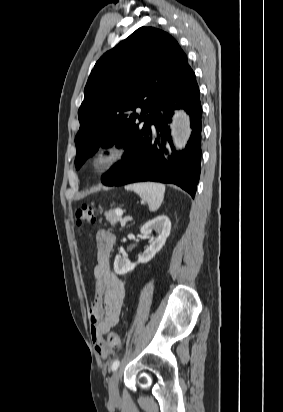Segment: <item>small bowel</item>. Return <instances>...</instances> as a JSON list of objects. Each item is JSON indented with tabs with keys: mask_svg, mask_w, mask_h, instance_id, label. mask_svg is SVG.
Segmentation results:
<instances>
[{
	"mask_svg": "<svg viewBox=\"0 0 283 412\" xmlns=\"http://www.w3.org/2000/svg\"><path fill=\"white\" fill-rule=\"evenodd\" d=\"M115 236L99 230L96 234L97 261L93 270L94 297L89 307L90 333L96 350L107 357L109 350L102 349L104 336L117 325L125 299L124 282L111 270L110 257Z\"/></svg>",
	"mask_w": 283,
	"mask_h": 412,
	"instance_id": "c3829d8e",
	"label": "small bowel"
}]
</instances>
